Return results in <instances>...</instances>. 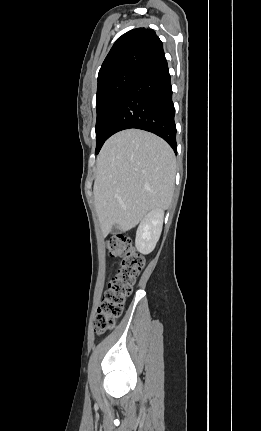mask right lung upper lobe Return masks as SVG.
Listing matches in <instances>:
<instances>
[{
    "label": "right lung upper lobe",
    "instance_id": "obj_1",
    "mask_svg": "<svg viewBox=\"0 0 261 431\" xmlns=\"http://www.w3.org/2000/svg\"><path fill=\"white\" fill-rule=\"evenodd\" d=\"M163 54V44L154 30L133 29L112 46L99 70L98 85L123 72L140 71Z\"/></svg>",
    "mask_w": 261,
    "mask_h": 431
}]
</instances>
